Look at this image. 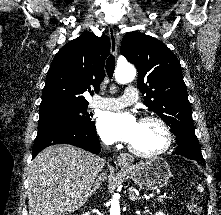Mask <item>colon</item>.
<instances>
[{"instance_id":"5ec220e1","label":"colon","mask_w":221,"mask_h":215,"mask_svg":"<svg viewBox=\"0 0 221 215\" xmlns=\"http://www.w3.org/2000/svg\"><path fill=\"white\" fill-rule=\"evenodd\" d=\"M200 211L199 204L196 201H193L189 205V212L191 214H198Z\"/></svg>"}]
</instances>
